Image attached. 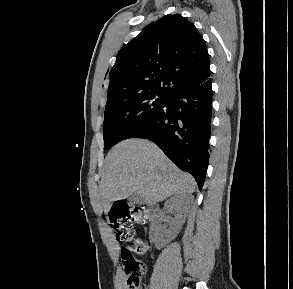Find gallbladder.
I'll use <instances>...</instances> for the list:
<instances>
[{
  "label": "gallbladder",
  "instance_id": "gallbladder-1",
  "mask_svg": "<svg viewBox=\"0 0 293 289\" xmlns=\"http://www.w3.org/2000/svg\"><path fill=\"white\" fill-rule=\"evenodd\" d=\"M128 201L131 204H142L143 200L141 199V197L137 194V193H133L128 197Z\"/></svg>",
  "mask_w": 293,
  "mask_h": 289
}]
</instances>
